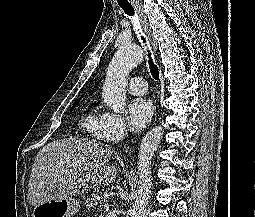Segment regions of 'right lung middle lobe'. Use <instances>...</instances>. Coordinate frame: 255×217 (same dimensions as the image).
<instances>
[{
    "label": "right lung middle lobe",
    "instance_id": "dd1d6c3e",
    "mask_svg": "<svg viewBox=\"0 0 255 217\" xmlns=\"http://www.w3.org/2000/svg\"><path fill=\"white\" fill-rule=\"evenodd\" d=\"M81 98H82V97H81ZM81 98H80V99H81ZM80 99H78V100L74 103V105H73L72 109L74 108V106H75L76 104H78V103H79Z\"/></svg>",
    "mask_w": 255,
    "mask_h": 217
}]
</instances>
